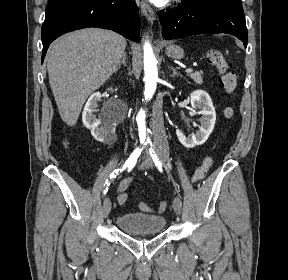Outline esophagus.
<instances>
[{"label": "esophagus", "instance_id": "esophagus-1", "mask_svg": "<svg viewBox=\"0 0 288 280\" xmlns=\"http://www.w3.org/2000/svg\"><path fill=\"white\" fill-rule=\"evenodd\" d=\"M140 8L142 14L145 16V18L150 22L153 23L155 20V12L152 9V7L145 1L140 2Z\"/></svg>", "mask_w": 288, "mask_h": 280}]
</instances>
